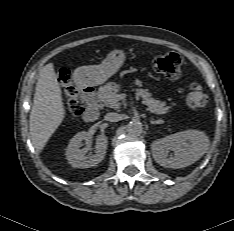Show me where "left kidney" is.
Here are the masks:
<instances>
[{
    "instance_id": "5707ae66",
    "label": "left kidney",
    "mask_w": 234,
    "mask_h": 231,
    "mask_svg": "<svg viewBox=\"0 0 234 231\" xmlns=\"http://www.w3.org/2000/svg\"><path fill=\"white\" fill-rule=\"evenodd\" d=\"M208 136L198 130L178 132L152 144L155 161L163 167L179 169L193 164L209 149ZM173 151V155L169 152Z\"/></svg>"
}]
</instances>
